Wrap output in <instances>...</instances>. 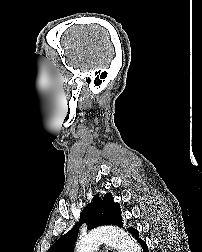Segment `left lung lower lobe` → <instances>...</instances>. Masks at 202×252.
Segmentation results:
<instances>
[{"label": "left lung lower lobe", "instance_id": "obj_1", "mask_svg": "<svg viewBox=\"0 0 202 252\" xmlns=\"http://www.w3.org/2000/svg\"><path fill=\"white\" fill-rule=\"evenodd\" d=\"M128 231L138 240L143 249V252H148L147 244L143 240H141L138 236L139 232L133 228H129Z\"/></svg>", "mask_w": 202, "mask_h": 252}]
</instances>
